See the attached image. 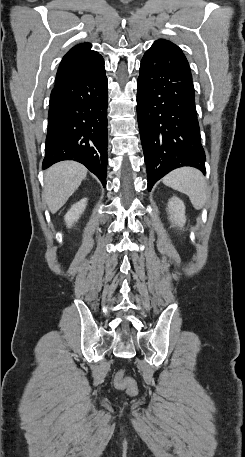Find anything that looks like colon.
I'll return each mask as SVG.
<instances>
[{
    "label": "colon",
    "instance_id": "1",
    "mask_svg": "<svg viewBox=\"0 0 245 457\" xmlns=\"http://www.w3.org/2000/svg\"><path fill=\"white\" fill-rule=\"evenodd\" d=\"M114 381H115V385L118 388L124 389L131 394L136 392L137 388H136L135 381L132 378L126 376V374L123 370H120L117 372Z\"/></svg>",
    "mask_w": 245,
    "mask_h": 457
}]
</instances>
